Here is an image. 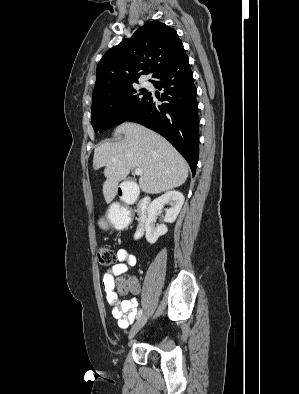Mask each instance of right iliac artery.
Segmentation results:
<instances>
[{"label":"right iliac artery","instance_id":"obj_1","mask_svg":"<svg viewBox=\"0 0 299 394\" xmlns=\"http://www.w3.org/2000/svg\"><path fill=\"white\" fill-rule=\"evenodd\" d=\"M142 312H143L142 309H140V310L138 311L137 316H136L137 319H139V318L141 317Z\"/></svg>","mask_w":299,"mask_h":394}]
</instances>
